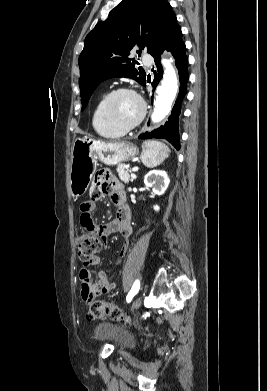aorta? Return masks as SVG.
<instances>
[{"mask_svg": "<svg viewBox=\"0 0 267 391\" xmlns=\"http://www.w3.org/2000/svg\"><path fill=\"white\" fill-rule=\"evenodd\" d=\"M162 64L165 68V73L161 85L156 90L155 108L151 116L154 123L160 122L166 117L171 110L178 91V78L172 66V60L164 59Z\"/></svg>", "mask_w": 267, "mask_h": 391, "instance_id": "aorta-1", "label": "aorta"}]
</instances>
